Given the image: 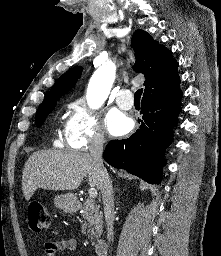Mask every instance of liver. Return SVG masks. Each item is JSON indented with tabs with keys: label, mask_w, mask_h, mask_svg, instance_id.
<instances>
[{
	"label": "liver",
	"mask_w": 221,
	"mask_h": 256,
	"mask_svg": "<svg viewBox=\"0 0 221 256\" xmlns=\"http://www.w3.org/2000/svg\"><path fill=\"white\" fill-rule=\"evenodd\" d=\"M86 175L88 185L100 189V173L88 153L59 150L35 152L23 169L22 189L25 200L29 201L39 188L75 190Z\"/></svg>",
	"instance_id": "1"
}]
</instances>
